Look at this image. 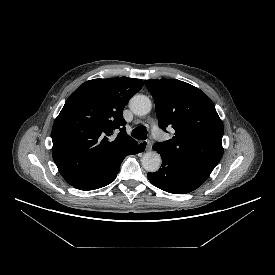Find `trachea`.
<instances>
[{
	"mask_svg": "<svg viewBox=\"0 0 275 275\" xmlns=\"http://www.w3.org/2000/svg\"><path fill=\"white\" fill-rule=\"evenodd\" d=\"M147 133L145 126H138L132 131V136L138 140H145L147 138Z\"/></svg>",
	"mask_w": 275,
	"mask_h": 275,
	"instance_id": "trachea-1",
	"label": "trachea"
}]
</instances>
